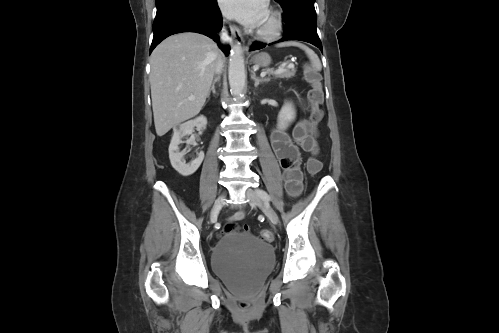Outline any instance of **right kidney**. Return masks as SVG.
Returning <instances> with one entry per match:
<instances>
[{
    "mask_svg": "<svg viewBox=\"0 0 499 333\" xmlns=\"http://www.w3.org/2000/svg\"><path fill=\"white\" fill-rule=\"evenodd\" d=\"M206 125V117L199 116L174 128V134L169 145V159L172 167L182 176H189L197 171L204 159V153L199 152L197 158L186 164L182 161L183 153L179 152L178 147L182 143L181 138L192 134L194 127L205 129Z\"/></svg>",
    "mask_w": 499,
    "mask_h": 333,
    "instance_id": "obj_1",
    "label": "right kidney"
}]
</instances>
